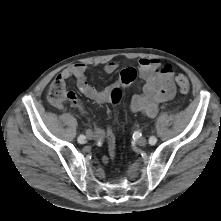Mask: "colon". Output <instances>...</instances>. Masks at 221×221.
<instances>
[{
  "label": "colon",
  "instance_id": "1",
  "mask_svg": "<svg viewBox=\"0 0 221 221\" xmlns=\"http://www.w3.org/2000/svg\"><path fill=\"white\" fill-rule=\"evenodd\" d=\"M164 70L169 71L171 70V67L169 65H166L164 66ZM175 81L182 93L189 92L190 83L187 76H185L184 74H177L175 77ZM122 84L127 85L128 81H125ZM47 97L48 100L55 105L62 104L65 101L74 102V103L79 102L75 93L67 91L65 88V83L59 80H54L52 82V84L49 87ZM121 97H122V92L120 87L113 88L111 92L112 102L117 104L121 100ZM115 141H116L115 130L113 127H110L108 131V148L109 152L112 154L113 157L116 154Z\"/></svg>",
  "mask_w": 221,
  "mask_h": 221
}]
</instances>
